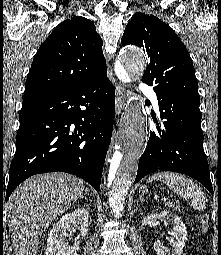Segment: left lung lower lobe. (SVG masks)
<instances>
[{
    "mask_svg": "<svg viewBox=\"0 0 221 255\" xmlns=\"http://www.w3.org/2000/svg\"><path fill=\"white\" fill-rule=\"evenodd\" d=\"M162 124L150 132L149 143L140 157L137 183L158 170L189 175L213 194L209 165L203 151L200 110L176 101L158 99Z\"/></svg>",
    "mask_w": 221,
    "mask_h": 255,
    "instance_id": "obj_1",
    "label": "left lung lower lobe"
}]
</instances>
